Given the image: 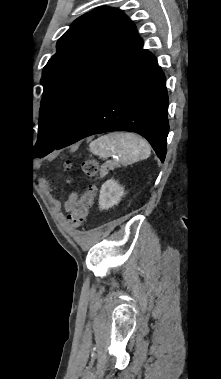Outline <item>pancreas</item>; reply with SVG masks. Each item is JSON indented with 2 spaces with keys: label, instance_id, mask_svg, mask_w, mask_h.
I'll return each instance as SVG.
<instances>
[{
  "label": "pancreas",
  "instance_id": "1",
  "mask_svg": "<svg viewBox=\"0 0 221 379\" xmlns=\"http://www.w3.org/2000/svg\"><path fill=\"white\" fill-rule=\"evenodd\" d=\"M114 168H116V164L114 163H105L101 166V175H105L108 170H113Z\"/></svg>",
  "mask_w": 221,
  "mask_h": 379
}]
</instances>
